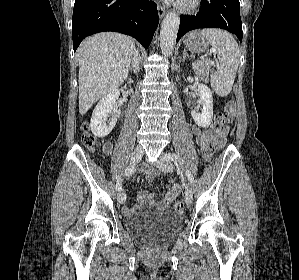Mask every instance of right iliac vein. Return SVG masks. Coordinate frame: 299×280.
<instances>
[{
    "instance_id": "63e3f726",
    "label": "right iliac vein",
    "mask_w": 299,
    "mask_h": 280,
    "mask_svg": "<svg viewBox=\"0 0 299 280\" xmlns=\"http://www.w3.org/2000/svg\"><path fill=\"white\" fill-rule=\"evenodd\" d=\"M142 156H143V150L141 148H136L131 155V159H130L131 164L132 165L137 164L141 160ZM117 200L120 204L125 203L126 194L124 191H119V193L117 194Z\"/></svg>"
}]
</instances>
